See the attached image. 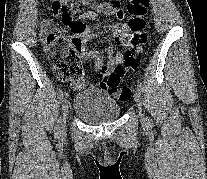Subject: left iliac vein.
Listing matches in <instances>:
<instances>
[{"instance_id": "left-iliac-vein-1", "label": "left iliac vein", "mask_w": 207, "mask_h": 179, "mask_svg": "<svg viewBox=\"0 0 207 179\" xmlns=\"http://www.w3.org/2000/svg\"><path fill=\"white\" fill-rule=\"evenodd\" d=\"M134 99H135V102H136L137 106L139 107V109H141L142 96H141V92L139 90L136 91ZM140 117L143 120L145 119L144 115L141 112H140Z\"/></svg>"}]
</instances>
